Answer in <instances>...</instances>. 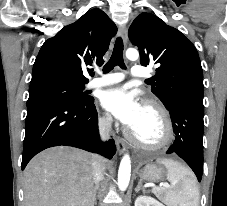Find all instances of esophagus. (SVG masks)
Wrapping results in <instances>:
<instances>
[{
  "label": "esophagus",
  "instance_id": "1",
  "mask_svg": "<svg viewBox=\"0 0 227 206\" xmlns=\"http://www.w3.org/2000/svg\"><path fill=\"white\" fill-rule=\"evenodd\" d=\"M119 33H120V36L122 37L124 43H126L127 42V37H128V28H127V26L126 25L120 26ZM116 146H117L119 154H124L125 153L126 144H125L123 139L117 137L116 138Z\"/></svg>",
  "mask_w": 227,
  "mask_h": 206
}]
</instances>
